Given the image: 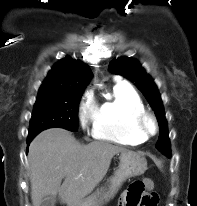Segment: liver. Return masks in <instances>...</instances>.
<instances>
[{
  "mask_svg": "<svg viewBox=\"0 0 197 206\" xmlns=\"http://www.w3.org/2000/svg\"><path fill=\"white\" fill-rule=\"evenodd\" d=\"M125 151L104 141L80 144L61 128L41 132L28 153L33 206H41L45 197L56 195L68 206L79 203L104 178L113 156Z\"/></svg>",
  "mask_w": 197,
  "mask_h": 206,
  "instance_id": "6515ba94",
  "label": "liver"
}]
</instances>
